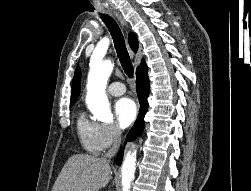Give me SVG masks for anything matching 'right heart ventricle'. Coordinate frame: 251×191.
I'll return each mask as SVG.
<instances>
[{
  "label": "right heart ventricle",
  "instance_id": "e07e8e85",
  "mask_svg": "<svg viewBox=\"0 0 251 191\" xmlns=\"http://www.w3.org/2000/svg\"><path fill=\"white\" fill-rule=\"evenodd\" d=\"M98 124L91 122L81 113L77 119V134L83 149L91 154H98L101 150L97 140Z\"/></svg>",
  "mask_w": 251,
  "mask_h": 191
}]
</instances>
